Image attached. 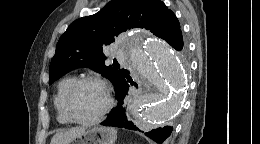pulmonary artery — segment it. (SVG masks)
<instances>
[{
  "mask_svg": "<svg viewBox=\"0 0 260 144\" xmlns=\"http://www.w3.org/2000/svg\"><path fill=\"white\" fill-rule=\"evenodd\" d=\"M116 57L118 59H123L124 58L123 54L121 52H119V51L116 52Z\"/></svg>",
  "mask_w": 260,
  "mask_h": 144,
  "instance_id": "e3ab8cb5",
  "label": "pulmonary artery"
}]
</instances>
